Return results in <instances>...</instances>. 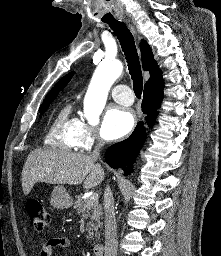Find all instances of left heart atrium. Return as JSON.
<instances>
[{
  "instance_id": "obj_1",
  "label": "left heart atrium",
  "mask_w": 221,
  "mask_h": 256,
  "mask_svg": "<svg viewBox=\"0 0 221 256\" xmlns=\"http://www.w3.org/2000/svg\"><path fill=\"white\" fill-rule=\"evenodd\" d=\"M134 117L130 110L120 106H110L103 118L101 133L107 140L123 137L131 131Z\"/></svg>"
}]
</instances>
